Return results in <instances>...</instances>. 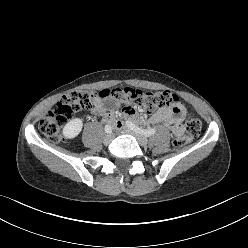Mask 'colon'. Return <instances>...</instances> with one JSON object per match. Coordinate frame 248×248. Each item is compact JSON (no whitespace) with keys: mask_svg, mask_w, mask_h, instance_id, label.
<instances>
[{"mask_svg":"<svg viewBox=\"0 0 248 248\" xmlns=\"http://www.w3.org/2000/svg\"><path fill=\"white\" fill-rule=\"evenodd\" d=\"M111 98L127 104L131 109L152 112L157 108L179 103V97L169 91H142L132 88H116L103 90L98 94L88 90H74L64 95L60 101L40 120V131L52 142L64 141L62 129L79 110L88 109L97 98ZM201 122L190 116L185 122L186 134L176 136L175 147H183L201 132Z\"/></svg>","mask_w":248,"mask_h":248,"instance_id":"1","label":"colon"}]
</instances>
